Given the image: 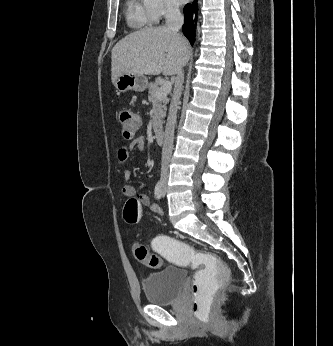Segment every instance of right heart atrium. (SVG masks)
I'll return each instance as SVG.
<instances>
[{
  "instance_id": "1",
  "label": "right heart atrium",
  "mask_w": 333,
  "mask_h": 346,
  "mask_svg": "<svg viewBox=\"0 0 333 346\" xmlns=\"http://www.w3.org/2000/svg\"><path fill=\"white\" fill-rule=\"evenodd\" d=\"M146 13L152 23L175 16L179 13L174 0H142Z\"/></svg>"
}]
</instances>
